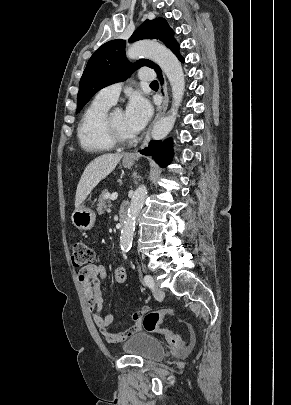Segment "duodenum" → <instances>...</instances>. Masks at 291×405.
Segmentation results:
<instances>
[{"mask_svg": "<svg viewBox=\"0 0 291 405\" xmlns=\"http://www.w3.org/2000/svg\"><path fill=\"white\" fill-rule=\"evenodd\" d=\"M127 218V206L124 205L120 211V224L122 225Z\"/></svg>", "mask_w": 291, "mask_h": 405, "instance_id": "obj_1", "label": "duodenum"}]
</instances>
